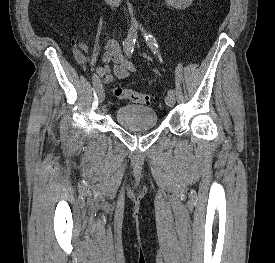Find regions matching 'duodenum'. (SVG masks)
<instances>
[{"label": "duodenum", "mask_w": 275, "mask_h": 263, "mask_svg": "<svg viewBox=\"0 0 275 263\" xmlns=\"http://www.w3.org/2000/svg\"><path fill=\"white\" fill-rule=\"evenodd\" d=\"M108 5L120 6L125 4L128 0H104Z\"/></svg>", "instance_id": "410a0bca"}]
</instances>
